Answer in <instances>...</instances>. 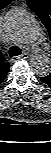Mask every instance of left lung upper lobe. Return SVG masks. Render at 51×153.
Masks as SVG:
<instances>
[{"label":"left lung upper lobe","instance_id":"obj_1","mask_svg":"<svg viewBox=\"0 0 51 153\" xmlns=\"http://www.w3.org/2000/svg\"><path fill=\"white\" fill-rule=\"evenodd\" d=\"M27 4L47 28L51 39V0H27ZM48 76L51 78V73Z\"/></svg>","mask_w":51,"mask_h":153}]
</instances>
